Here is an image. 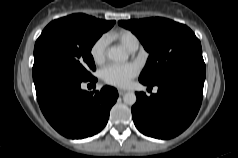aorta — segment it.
I'll list each match as a JSON object with an SVG mask.
<instances>
[{
  "mask_svg": "<svg viewBox=\"0 0 238 158\" xmlns=\"http://www.w3.org/2000/svg\"><path fill=\"white\" fill-rule=\"evenodd\" d=\"M111 61H126L128 59V54L121 48H111L107 54ZM136 95L134 92H127L123 96V101L127 105H134L136 103Z\"/></svg>",
  "mask_w": 238,
  "mask_h": 158,
  "instance_id": "aorta-1",
  "label": "aorta"
}]
</instances>
